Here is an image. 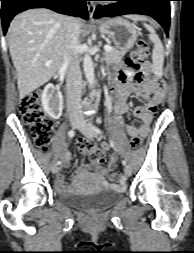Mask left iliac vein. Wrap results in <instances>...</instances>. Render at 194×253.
<instances>
[{
	"label": "left iliac vein",
	"mask_w": 194,
	"mask_h": 253,
	"mask_svg": "<svg viewBox=\"0 0 194 253\" xmlns=\"http://www.w3.org/2000/svg\"><path fill=\"white\" fill-rule=\"evenodd\" d=\"M78 129H79V131L82 134H84L88 138H94V137H96V132L93 130V128L91 127V125L88 124L86 122V120L83 119V118L80 121V125H79ZM124 171H125V174L127 176H131L132 170H131L130 166H126L125 169H124Z\"/></svg>",
	"instance_id": "4c4485c4"
}]
</instances>
